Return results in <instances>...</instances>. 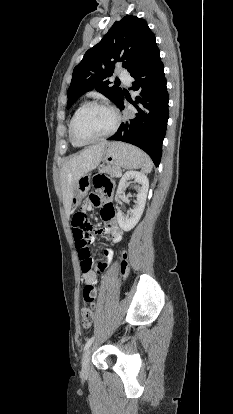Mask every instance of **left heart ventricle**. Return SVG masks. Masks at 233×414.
Wrapping results in <instances>:
<instances>
[{
  "instance_id": "b2bd125f",
  "label": "left heart ventricle",
  "mask_w": 233,
  "mask_h": 414,
  "mask_svg": "<svg viewBox=\"0 0 233 414\" xmlns=\"http://www.w3.org/2000/svg\"><path fill=\"white\" fill-rule=\"evenodd\" d=\"M113 115L102 108H90L83 112L75 124V135L80 140L99 137L113 125Z\"/></svg>"
}]
</instances>
